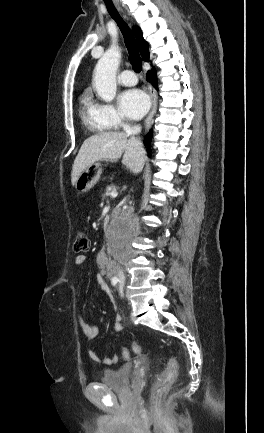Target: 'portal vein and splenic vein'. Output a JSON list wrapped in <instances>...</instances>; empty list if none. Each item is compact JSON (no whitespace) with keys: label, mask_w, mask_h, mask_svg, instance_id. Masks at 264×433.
<instances>
[{"label":"portal vein and splenic vein","mask_w":264,"mask_h":433,"mask_svg":"<svg viewBox=\"0 0 264 433\" xmlns=\"http://www.w3.org/2000/svg\"><path fill=\"white\" fill-rule=\"evenodd\" d=\"M111 196H112L113 198H116V197L118 196V194H117V192H112V193H111Z\"/></svg>","instance_id":"18ae733b"}]
</instances>
